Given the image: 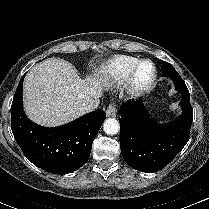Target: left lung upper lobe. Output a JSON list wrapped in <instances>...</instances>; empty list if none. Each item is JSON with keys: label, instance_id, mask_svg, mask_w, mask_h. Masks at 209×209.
Wrapping results in <instances>:
<instances>
[{"label": "left lung upper lobe", "instance_id": "obj_1", "mask_svg": "<svg viewBox=\"0 0 209 209\" xmlns=\"http://www.w3.org/2000/svg\"><path fill=\"white\" fill-rule=\"evenodd\" d=\"M162 75L167 76V77H171V76L179 75V74L170 63L164 62Z\"/></svg>", "mask_w": 209, "mask_h": 209}]
</instances>
